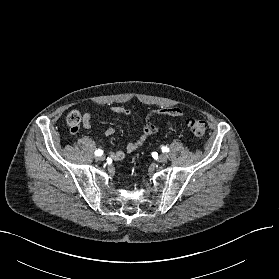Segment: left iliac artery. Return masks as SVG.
I'll return each mask as SVG.
<instances>
[{
  "label": "left iliac artery",
  "instance_id": "left-iliac-artery-1",
  "mask_svg": "<svg viewBox=\"0 0 279 279\" xmlns=\"http://www.w3.org/2000/svg\"><path fill=\"white\" fill-rule=\"evenodd\" d=\"M162 152H169V148L163 146V147H162Z\"/></svg>",
  "mask_w": 279,
  "mask_h": 279
}]
</instances>
